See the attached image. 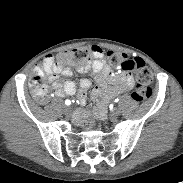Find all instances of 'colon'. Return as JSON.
Here are the masks:
<instances>
[{"instance_id": "5ec220e1", "label": "colon", "mask_w": 183, "mask_h": 183, "mask_svg": "<svg viewBox=\"0 0 183 183\" xmlns=\"http://www.w3.org/2000/svg\"><path fill=\"white\" fill-rule=\"evenodd\" d=\"M92 56V51L87 47H79L73 50L65 51L57 55L56 63L63 68L73 66L83 67L88 64ZM108 64L114 68L123 71L132 72L136 70L137 86L132 93V98L136 102H142L152 93L153 74L140 58L130 59L124 54L114 51H108L105 55ZM46 60H42L31 72L30 90L34 99L43 103L47 97V86L45 83L44 65ZM95 117L90 115L81 120L83 131L91 133L95 129Z\"/></svg>"}]
</instances>
